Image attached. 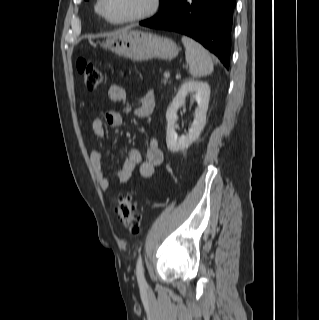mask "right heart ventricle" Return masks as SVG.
<instances>
[{"mask_svg": "<svg viewBox=\"0 0 319 320\" xmlns=\"http://www.w3.org/2000/svg\"><path fill=\"white\" fill-rule=\"evenodd\" d=\"M98 5L99 3L96 4V11L99 13Z\"/></svg>", "mask_w": 319, "mask_h": 320, "instance_id": "right-heart-ventricle-1", "label": "right heart ventricle"}]
</instances>
